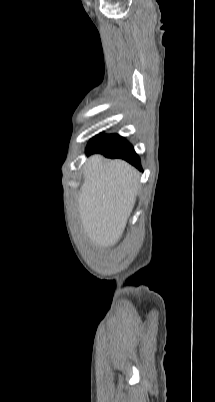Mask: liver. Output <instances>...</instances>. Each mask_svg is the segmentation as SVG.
<instances>
[{
	"mask_svg": "<svg viewBox=\"0 0 215 402\" xmlns=\"http://www.w3.org/2000/svg\"><path fill=\"white\" fill-rule=\"evenodd\" d=\"M78 196L81 226L98 247L113 246L134 208L139 172L127 162L92 155L83 167Z\"/></svg>",
	"mask_w": 215,
	"mask_h": 402,
	"instance_id": "obj_1",
	"label": "liver"
}]
</instances>
